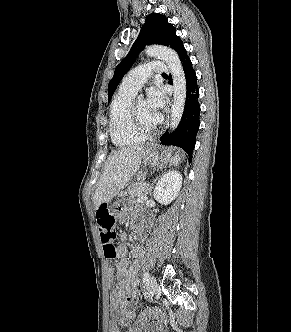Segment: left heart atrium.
I'll return each instance as SVG.
<instances>
[{
  "mask_svg": "<svg viewBox=\"0 0 291 332\" xmlns=\"http://www.w3.org/2000/svg\"><path fill=\"white\" fill-rule=\"evenodd\" d=\"M147 104L157 123L162 121V110L165 105V95L159 88H151L148 92Z\"/></svg>",
  "mask_w": 291,
  "mask_h": 332,
  "instance_id": "1",
  "label": "left heart atrium"
}]
</instances>
